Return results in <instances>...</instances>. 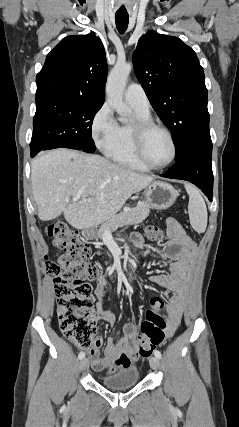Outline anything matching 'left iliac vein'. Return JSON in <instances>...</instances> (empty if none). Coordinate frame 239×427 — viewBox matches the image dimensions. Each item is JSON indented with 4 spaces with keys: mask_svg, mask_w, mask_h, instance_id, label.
<instances>
[{
    "mask_svg": "<svg viewBox=\"0 0 239 427\" xmlns=\"http://www.w3.org/2000/svg\"><path fill=\"white\" fill-rule=\"evenodd\" d=\"M149 363H150V367H151L153 370L158 369V368H159V366H160V361H159V359H158L156 356L151 357V358H150V360H149Z\"/></svg>",
    "mask_w": 239,
    "mask_h": 427,
    "instance_id": "1",
    "label": "left iliac vein"
}]
</instances>
